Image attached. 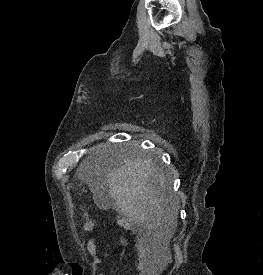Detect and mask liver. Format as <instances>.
<instances>
[{
    "instance_id": "liver-1",
    "label": "liver",
    "mask_w": 263,
    "mask_h": 275,
    "mask_svg": "<svg viewBox=\"0 0 263 275\" xmlns=\"http://www.w3.org/2000/svg\"><path fill=\"white\" fill-rule=\"evenodd\" d=\"M88 167L81 164L78 175L83 177ZM105 180L116 208L130 222L148 228L163 223L176 227L178 205L166 195V177L151 159L125 156L117 167L107 168Z\"/></svg>"
}]
</instances>
